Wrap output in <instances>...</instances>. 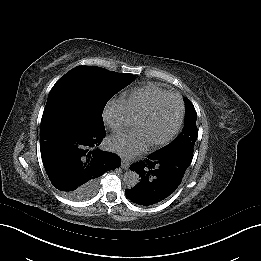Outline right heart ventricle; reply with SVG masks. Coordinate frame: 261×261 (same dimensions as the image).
Segmentation results:
<instances>
[{
    "label": "right heart ventricle",
    "mask_w": 261,
    "mask_h": 261,
    "mask_svg": "<svg viewBox=\"0 0 261 261\" xmlns=\"http://www.w3.org/2000/svg\"><path fill=\"white\" fill-rule=\"evenodd\" d=\"M172 94L169 90L158 85H149L134 91L122 104L126 114L133 118H139L168 99Z\"/></svg>",
    "instance_id": "obj_1"
}]
</instances>
